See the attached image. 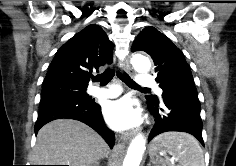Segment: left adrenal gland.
Wrapping results in <instances>:
<instances>
[{
    "instance_id": "left-adrenal-gland-1",
    "label": "left adrenal gland",
    "mask_w": 236,
    "mask_h": 166,
    "mask_svg": "<svg viewBox=\"0 0 236 166\" xmlns=\"http://www.w3.org/2000/svg\"><path fill=\"white\" fill-rule=\"evenodd\" d=\"M147 166H151V164L149 163Z\"/></svg>"
}]
</instances>
